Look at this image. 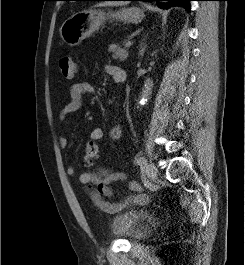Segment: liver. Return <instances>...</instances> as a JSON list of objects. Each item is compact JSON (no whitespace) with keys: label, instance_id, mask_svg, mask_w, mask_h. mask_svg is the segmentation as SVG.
Here are the masks:
<instances>
[{"label":"liver","instance_id":"obj_1","mask_svg":"<svg viewBox=\"0 0 245 265\" xmlns=\"http://www.w3.org/2000/svg\"><path fill=\"white\" fill-rule=\"evenodd\" d=\"M124 3H119V2H115V3H101L99 4L100 6H110V5H123Z\"/></svg>","mask_w":245,"mask_h":265}]
</instances>
